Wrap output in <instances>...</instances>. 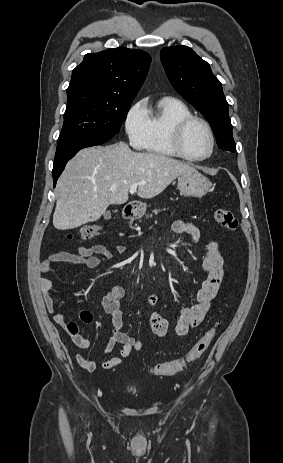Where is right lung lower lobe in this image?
Segmentation results:
<instances>
[{
	"instance_id": "obj_1",
	"label": "right lung lower lobe",
	"mask_w": 283,
	"mask_h": 463,
	"mask_svg": "<svg viewBox=\"0 0 283 463\" xmlns=\"http://www.w3.org/2000/svg\"><path fill=\"white\" fill-rule=\"evenodd\" d=\"M111 137L104 138H85L57 145L55 154V162L53 164V185L56 186V182L60 174L65 168L66 163L75 156V154L86 147L100 145L110 140Z\"/></svg>"
}]
</instances>
